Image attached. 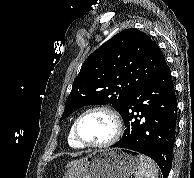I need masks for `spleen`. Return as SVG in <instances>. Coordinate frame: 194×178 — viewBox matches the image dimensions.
<instances>
[{
	"instance_id": "spleen-1",
	"label": "spleen",
	"mask_w": 194,
	"mask_h": 178,
	"mask_svg": "<svg viewBox=\"0 0 194 178\" xmlns=\"http://www.w3.org/2000/svg\"><path fill=\"white\" fill-rule=\"evenodd\" d=\"M135 178H158V168L154 161L145 155H139V168Z\"/></svg>"
}]
</instances>
